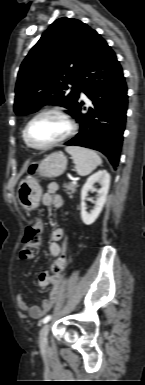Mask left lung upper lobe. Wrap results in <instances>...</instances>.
<instances>
[{
  "label": "left lung upper lobe",
  "mask_w": 145,
  "mask_h": 385,
  "mask_svg": "<svg viewBox=\"0 0 145 385\" xmlns=\"http://www.w3.org/2000/svg\"><path fill=\"white\" fill-rule=\"evenodd\" d=\"M96 33L85 23L66 17L50 25L18 72L14 103L17 115L44 105L63 106L74 115L79 103L80 74Z\"/></svg>",
  "instance_id": "left-lung-upper-lobe-1"
}]
</instances>
